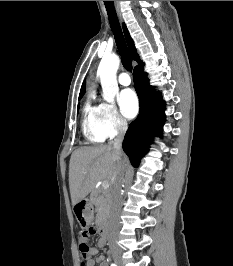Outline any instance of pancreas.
I'll use <instances>...</instances> for the list:
<instances>
[{"mask_svg":"<svg viewBox=\"0 0 233 266\" xmlns=\"http://www.w3.org/2000/svg\"><path fill=\"white\" fill-rule=\"evenodd\" d=\"M91 202L96 206L97 219H104L109 212L110 206V193L107 189L98 188L94 189L91 193Z\"/></svg>","mask_w":233,"mask_h":266,"instance_id":"pancreas-1","label":"pancreas"}]
</instances>
